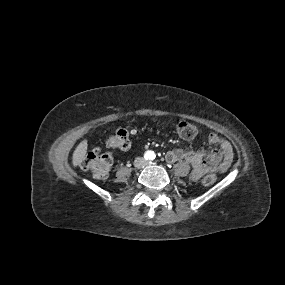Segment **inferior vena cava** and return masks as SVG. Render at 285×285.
I'll return each mask as SVG.
<instances>
[{
    "label": "inferior vena cava",
    "instance_id": "602c4592",
    "mask_svg": "<svg viewBox=\"0 0 285 285\" xmlns=\"http://www.w3.org/2000/svg\"><path fill=\"white\" fill-rule=\"evenodd\" d=\"M145 160L143 159V158H137L136 160H135V164L138 166V167H140V166H143L144 164H145Z\"/></svg>",
    "mask_w": 285,
    "mask_h": 285
}]
</instances>
